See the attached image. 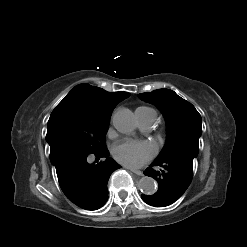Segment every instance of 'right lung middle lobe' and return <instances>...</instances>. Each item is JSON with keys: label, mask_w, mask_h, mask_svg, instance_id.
<instances>
[{"label": "right lung middle lobe", "mask_w": 247, "mask_h": 247, "mask_svg": "<svg viewBox=\"0 0 247 247\" xmlns=\"http://www.w3.org/2000/svg\"><path fill=\"white\" fill-rule=\"evenodd\" d=\"M109 122V116L95 115L77 99L64 98L51 113L46 141L50 147L60 145L96 153L106 149Z\"/></svg>", "instance_id": "obj_1"}]
</instances>
